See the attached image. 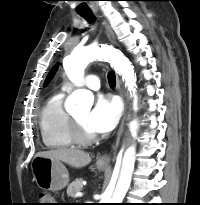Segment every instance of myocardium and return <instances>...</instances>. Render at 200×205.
<instances>
[{
    "instance_id": "1",
    "label": "myocardium",
    "mask_w": 200,
    "mask_h": 205,
    "mask_svg": "<svg viewBox=\"0 0 200 205\" xmlns=\"http://www.w3.org/2000/svg\"><path fill=\"white\" fill-rule=\"evenodd\" d=\"M69 128L71 138L76 144L89 145L97 140V137L95 135H87L83 131L79 122L73 116H69Z\"/></svg>"
}]
</instances>
